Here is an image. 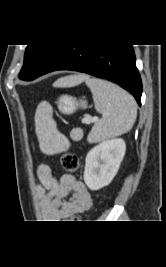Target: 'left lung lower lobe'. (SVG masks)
I'll return each instance as SVG.
<instances>
[{
    "label": "left lung lower lobe",
    "mask_w": 166,
    "mask_h": 267,
    "mask_svg": "<svg viewBox=\"0 0 166 267\" xmlns=\"http://www.w3.org/2000/svg\"><path fill=\"white\" fill-rule=\"evenodd\" d=\"M58 70L78 71L110 80L129 91L141 105L142 82L132 45H61L39 76Z\"/></svg>",
    "instance_id": "0a47b994"
}]
</instances>
